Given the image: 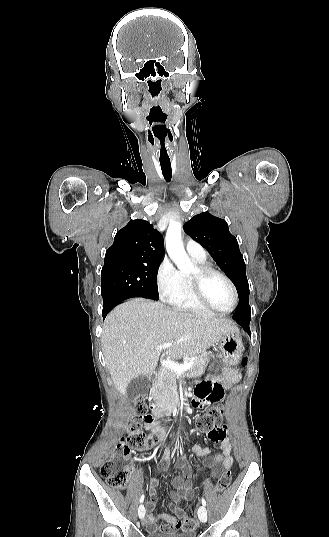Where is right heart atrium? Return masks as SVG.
<instances>
[{
	"label": "right heart atrium",
	"mask_w": 329,
	"mask_h": 537,
	"mask_svg": "<svg viewBox=\"0 0 329 537\" xmlns=\"http://www.w3.org/2000/svg\"><path fill=\"white\" fill-rule=\"evenodd\" d=\"M156 286L161 299L169 302L182 291L183 278L168 258H164L158 266Z\"/></svg>",
	"instance_id": "d8ad5b80"
}]
</instances>
